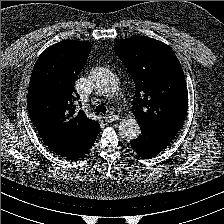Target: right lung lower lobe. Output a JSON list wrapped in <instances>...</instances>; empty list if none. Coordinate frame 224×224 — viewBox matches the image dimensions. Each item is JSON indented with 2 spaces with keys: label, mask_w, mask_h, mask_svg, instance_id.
<instances>
[{
  "label": "right lung lower lobe",
  "mask_w": 224,
  "mask_h": 224,
  "mask_svg": "<svg viewBox=\"0 0 224 224\" xmlns=\"http://www.w3.org/2000/svg\"><path fill=\"white\" fill-rule=\"evenodd\" d=\"M96 139V138H95ZM95 139H93L85 148L79 150L78 152H76L74 155H73V158L75 159H78L79 157H81L89 148L92 147L93 143L95 142Z\"/></svg>",
  "instance_id": "right-lung-lower-lobe-1"
}]
</instances>
